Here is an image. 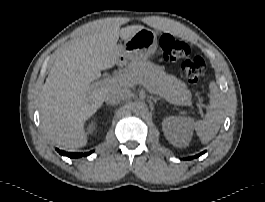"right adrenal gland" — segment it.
<instances>
[{"label": "right adrenal gland", "instance_id": "1", "mask_svg": "<svg viewBox=\"0 0 265 202\" xmlns=\"http://www.w3.org/2000/svg\"><path fill=\"white\" fill-rule=\"evenodd\" d=\"M107 106H114V104H109V103H106Z\"/></svg>", "mask_w": 265, "mask_h": 202}]
</instances>
